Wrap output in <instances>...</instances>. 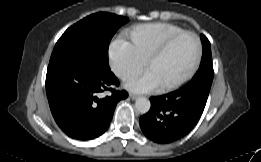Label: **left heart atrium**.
<instances>
[{"instance_id": "obj_1", "label": "left heart atrium", "mask_w": 261, "mask_h": 162, "mask_svg": "<svg viewBox=\"0 0 261 162\" xmlns=\"http://www.w3.org/2000/svg\"><path fill=\"white\" fill-rule=\"evenodd\" d=\"M125 86L135 92L147 93L157 90L161 84L154 73L147 69L141 75L127 79Z\"/></svg>"}]
</instances>
